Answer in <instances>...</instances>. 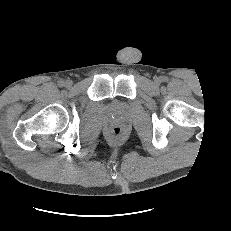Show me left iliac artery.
Masks as SVG:
<instances>
[{"label":"left iliac artery","instance_id":"left-iliac-artery-1","mask_svg":"<svg viewBox=\"0 0 231 231\" xmlns=\"http://www.w3.org/2000/svg\"><path fill=\"white\" fill-rule=\"evenodd\" d=\"M163 81H167V78L165 77V78H163Z\"/></svg>","mask_w":231,"mask_h":231}]
</instances>
